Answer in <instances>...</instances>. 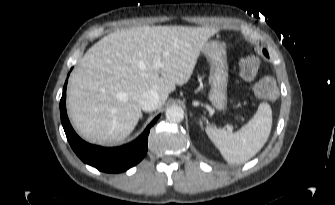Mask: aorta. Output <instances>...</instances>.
Masks as SVG:
<instances>
[{"label":"aorta","mask_w":335,"mask_h":205,"mask_svg":"<svg viewBox=\"0 0 335 205\" xmlns=\"http://www.w3.org/2000/svg\"><path fill=\"white\" fill-rule=\"evenodd\" d=\"M166 119L170 122L179 123L184 119V111L180 106L172 105L166 110Z\"/></svg>","instance_id":"762f6f07"}]
</instances>
